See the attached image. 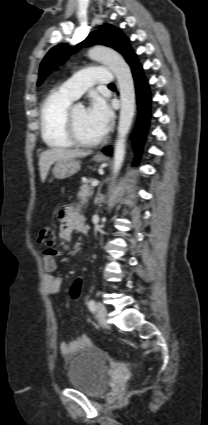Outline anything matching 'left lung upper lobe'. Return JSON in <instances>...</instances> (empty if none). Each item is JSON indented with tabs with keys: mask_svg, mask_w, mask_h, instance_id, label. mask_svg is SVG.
Masks as SVG:
<instances>
[{
	"mask_svg": "<svg viewBox=\"0 0 208 425\" xmlns=\"http://www.w3.org/2000/svg\"><path fill=\"white\" fill-rule=\"evenodd\" d=\"M96 43H101L115 49L124 56L129 65L134 59H136V56L133 54L132 48L130 47L128 38L120 29L111 24H104L98 31L90 33L89 36L83 42L78 44L77 47L92 46ZM74 50H77V48H74ZM70 53L71 49L65 43L54 46L41 62L37 84H41L53 69L67 59Z\"/></svg>",
	"mask_w": 208,
	"mask_h": 425,
	"instance_id": "left-lung-upper-lobe-1",
	"label": "left lung upper lobe"
}]
</instances>
